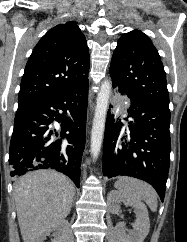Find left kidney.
I'll use <instances>...</instances> for the list:
<instances>
[{
	"label": "left kidney",
	"instance_id": "1",
	"mask_svg": "<svg viewBox=\"0 0 187 242\" xmlns=\"http://www.w3.org/2000/svg\"><path fill=\"white\" fill-rule=\"evenodd\" d=\"M110 212L117 214L120 204L124 203L134 208L136 221L133 224V231L126 233L125 224L118 223L115 227L120 242H143L149 233L150 221L147 207L139 200L131 199L119 191L113 190L107 196Z\"/></svg>",
	"mask_w": 187,
	"mask_h": 242
}]
</instances>
